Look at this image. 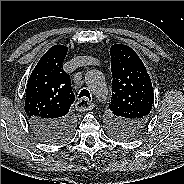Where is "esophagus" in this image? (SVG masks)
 Listing matches in <instances>:
<instances>
[{"label": "esophagus", "instance_id": "1", "mask_svg": "<svg viewBox=\"0 0 184 184\" xmlns=\"http://www.w3.org/2000/svg\"><path fill=\"white\" fill-rule=\"evenodd\" d=\"M94 104L91 101H88L86 98H81L76 103V108L79 111H88L94 108Z\"/></svg>", "mask_w": 184, "mask_h": 184}]
</instances>
